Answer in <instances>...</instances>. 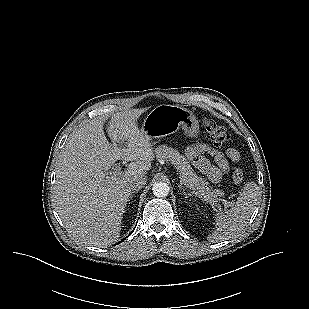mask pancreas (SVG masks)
<instances>
[{"mask_svg":"<svg viewBox=\"0 0 309 309\" xmlns=\"http://www.w3.org/2000/svg\"><path fill=\"white\" fill-rule=\"evenodd\" d=\"M155 155L158 160L169 161L175 165L194 194L202 197L207 203L212 205L219 204L220 199L218 196L224 195V192L220 189H213L205 179L198 177L185 157L176 149L160 145L155 149Z\"/></svg>","mask_w":309,"mask_h":309,"instance_id":"obj_1","label":"pancreas"}]
</instances>
